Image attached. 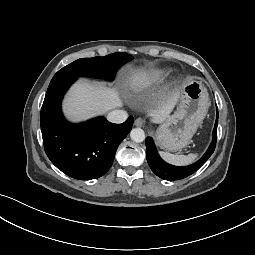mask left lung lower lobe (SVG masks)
<instances>
[{
  "mask_svg": "<svg viewBox=\"0 0 255 255\" xmlns=\"http://www.w3.org/2000/svg\"><path fill=\"white\" fill-rule=\"evenodd\" d=\"M217 125H218V112H217L215 127L213 130V140L208 150L197 162L193 163L192 165L184 166V167L173 166L164 162L160 158L156 150L153 139L151 137H147L145 141L146 158L151 170L158 177L168 181L183 179L193 174L214 152V149L216 146V140H217Z\"/></svg>",
  "mask_w": 255,
  "mask_h": 255,
  "instance_id": "0a47b994",
  "label": "left lung lower lobe"
}]
</instances>
